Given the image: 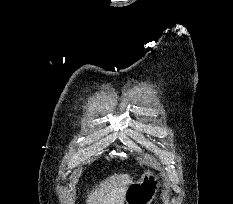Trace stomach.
I'll list each match as a JSON object with an SVG mask.
<instances>
[{
  "label": "stomach",
  "mask_w": 233,
  "mask_h": 204,
  "mask_svg": "<svg viewBox=\"0 0 233 204\" xmlns=\"http://www.w3.org/2000/svg\"><path fill=\"white\" fill-rule=\"evenodd\" d=\"M160 180L153 171H145L141 179L131 182L125 193L124 204H150L155 198Z\"/></svg>",
  "instance_id": "1"
}]
</instances>
